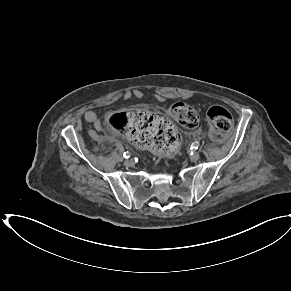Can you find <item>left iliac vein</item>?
<instances>
[{"instance_id": "obj_1", "label": "left iliac vein", "mask_w": 291, "mask_h": 291, "mask_svg": "<svg viewBox=\"0 0 291 291\" xmlns=\"http://www.w3.org/2000/svg\"><path fill=\"white\" fill-rule=\"evenodd\" d=\"M200 158V154L198 152H194L191 156H190V160L192 162L197 161Z\"/></svg>"}]
</instances>
